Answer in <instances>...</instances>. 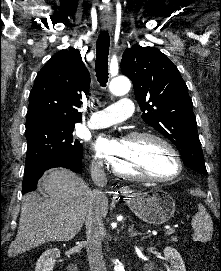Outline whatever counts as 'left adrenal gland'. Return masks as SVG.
<instances>
[{"instance_id":"left-adrenal-gland-1","label":"left adrenal gland","mask_w":221,"mask_h":271,"mask_svg":"<svg viewBox=\"0 0 221 271\" xmlns=\"http://www.w3.org/2000/svg\"><path fill=\"white\" fill-rule=\"evenodd\" d=\"M129 237H134V235H138V231H134V223L132 225H129Z\"/></svg>"}]
</instances>
